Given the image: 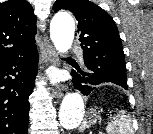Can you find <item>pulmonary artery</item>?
<instances>
[{
  "mask_svg": "<svg viewBox=\"0 0 153 134\" xmlns=\"http://www.w3.org/2000/svg\"><path fill=\"white\" fill-rule=\"evenodd\" d=\"M73 51L79 52L80 50L78 49V47H73Z\"/></svg>",
  "mask_w": 153,
  "mask_h": 134,
  "instance_id": "1",
  "label": "pulmonary artery"
}]
</instances>
